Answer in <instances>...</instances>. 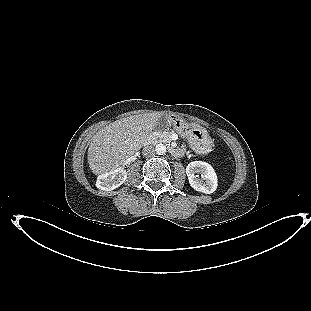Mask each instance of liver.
Wrapping results in <instances>:
<instances>
[{"instance_id":"liver-1","label":"liver","mask_w":311,"mask_h":311,"mask_svg":"<svg viewBox=\"0 0 311 311\" xmlns=\"http://www.w3.org/2000/svg\"><path fill=\"white\" fill-rule=\"evenodd\" d=\"M161 116L159 112L130 116L99 130L88 148L91 171L100 176L123 165L142 147ZM192 126L200 128L195 124Z\"/></svg>"}]
</instances>
